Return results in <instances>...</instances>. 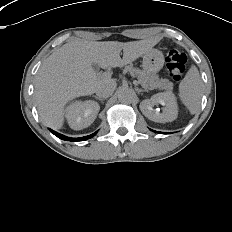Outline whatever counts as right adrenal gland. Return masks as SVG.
Segmentation results:
<instances>
[{"label": "right adrenal gland", "mask_w": 232, "mask_h": 232, "mask_svg": "<svg viewBox=\"0 0 232 232\" xmlns=\"http://www.w3.org/2000/svg\"><path fill=\"white\" fill-rule=\"evenodd\" d=\"M95 99H97V100H99L100 102H102L103 103V101L105 100V99H103V98H100V97H98V96H93Z\"/></svg>", "instance_id": "obj_1"}]
</instances>
